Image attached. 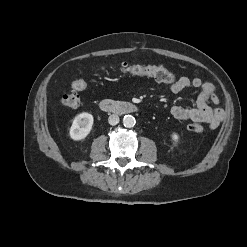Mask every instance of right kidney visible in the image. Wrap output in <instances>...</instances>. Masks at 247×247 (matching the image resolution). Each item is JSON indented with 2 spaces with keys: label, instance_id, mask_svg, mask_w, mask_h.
Returning a JSON list of instances; mask_svg holds the SVG:
<instances>
[{
  "label": "right kidney",
  "instance_id": "obj_1",
  "mask_svg": "<svg viewBox=\"0 0 247 247\" xmlns=\"http://www.w3.org/2000/svg\"><path fill=\"white\" fill-rule=\"evenodd\" d=\"M93 121V115L90 113L83 112L77 115L69 131L71 139L76 141L85 139L91 132Z\"/></svg>",
  "mask_w": 247,
  "mask_h": 247
}]
</instances>
